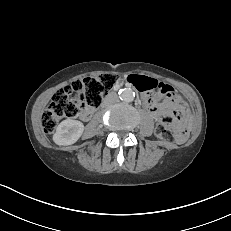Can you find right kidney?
<instances>
[{"label": "right kidney", "mask_w": 231, "mask_h": 231, "mask_svg": "<svg viewBox=\"0 0 231 231\" xmlns=\"http://www.w3.org/2000/svg\"><path fill=\"white\" fill-rule=\"evenodd\" d=\"M84 125L82 122L72 119L62 121L53 135V141L57 145L74 144L82 135Z\"/></svg>", "instance_id": "1"}]
</instances>
